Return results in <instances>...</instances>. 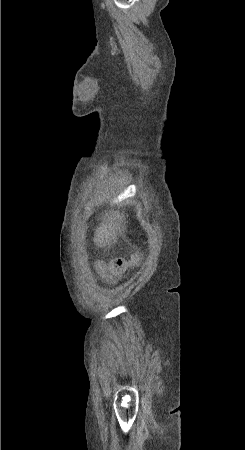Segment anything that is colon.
Instances as JSON below:
<instances>
[{
  "instance_id": "obj_1",
  "label": "colon",
  "mask_w": 245,
  "mask_h": 450,
  "mask_svg": "<svg viewBox=\"0 0 245 450\" xmlns=\"http://www.w3.org/2000/svg\"><path fill=\"white\" fill-rule=\"evenodd\" d=\"M138 260H139L138 253H134L130 258L119 257L113 259L111 261L110 267L114 272L121 273L125 271L128 267L136 265ZM96 268L101 270L105 268V264L102 261H99L96 264Z\"/></svg>"
}]
</instances>
